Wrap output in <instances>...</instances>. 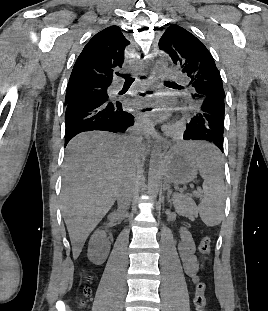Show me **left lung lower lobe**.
Masks as SVG:
<instances>
[{
	"label": "left lung lower lobe",
	"instance_id": "obj_1",
	"mask_svg": "<svg viewBox=\"0 0 268 311\" xmlns=\"http://www.w3.org/2000/svg\"><path fill=\"white\" fill-rule=\"evenodd\" d=\"M224 97L216 96L212 102L205 99L198 111L190 115V120L186 125L183 140H206L217 144L223 151L224 133Z\"/></svg>",
	"mask_w": 268,
	"mask_h": 311
}]
</instances>
